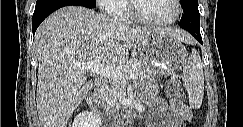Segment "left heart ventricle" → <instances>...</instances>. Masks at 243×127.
Here are the masks:
<instances>
[{
	"label": "left heart ventricle",
	"mask_w": 243,
	"mask_h": 127,
	"mask_svg": "<svg viewBox=\"0 0 243 127\" xmlns=\"http://www.w3.org/2000/svg\"><path fill=\"white\" fill-rule=\"evenodd\" d=\"M138 7L142 15L154 20H167L175 14L172 0H139Z\"/></svg>",
	"instance_id": "obj_1"
}]
</instances>
